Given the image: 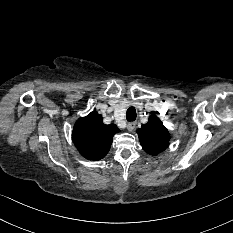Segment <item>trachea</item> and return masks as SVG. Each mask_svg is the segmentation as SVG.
Wrapping results in <instances>:
<instances>
[{
	"label": "trachea",
	"mask_w": 233,
	"mask_h": 233,
	"mask_svg": "<svg viewBox=\"0 0 233 233\" xmlns=\"http://www.w3.org/2000/svg\"><path fill=\"white\" fill-rule=\"evenodd\" d=\"M136 116H137V114H136L135 108H133V107L128 108V110L126 112L127 121H129V122L135 121Z\"/></svg>",
	"instance_id": "trachea-1"
}]
</instances>
